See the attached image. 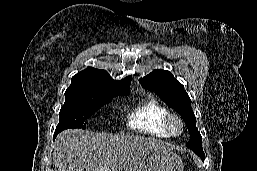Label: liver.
Returning a JSON list of instances; mask_svg holds the SVG:
<instances>
[{
    "instance_id": "6515ba94",
    "label": "liver",
    "mask_w": 257,
    "mask_h": 171,
    "mask_svg": "<svg viewBox=\"0 0 257 171\" xmlns=\"http://www.w3.org/2000/svg\"><path fill=\"white\" fill-rule=\"evenodd\" d=\"M53 149L55 171H143L151 152L170 151L154 138L81 129L60 133Z\"/></svg>"
}]
</instances>
